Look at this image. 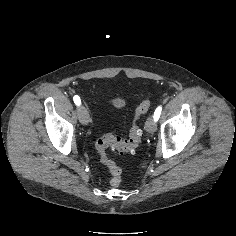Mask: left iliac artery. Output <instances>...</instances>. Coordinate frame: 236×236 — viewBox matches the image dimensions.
<instances>
[{
  "instance_id": "left-iliac-artery-1",
  "label": "left iliac artery",
  "mask_w": 236,
  "mask_h": 236,
  "mask_svg": "<svg viewBox=\"0 0 236 236\" xmlns=\"http://www.w3.org/2000/svg\"><path fill=\"white\" fill-rule=\"evenodd\" d=\"M161 111H162V107L161 106L156 108V110L154 112V116H153L155 121H157L159 119Z\"/></svg>"
}]
</instances>
